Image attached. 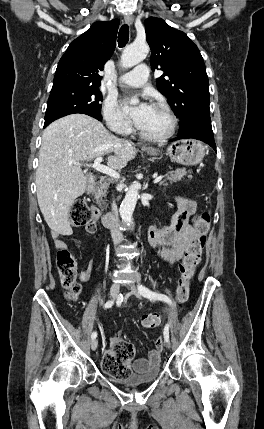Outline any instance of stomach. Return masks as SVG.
<instances>
[{
	"label": "stomach",
	"mask_w": 264,
	"mask_h": 429,
	"mask_svg": "<svg viewBox=\"0 0 264 429\" xmlns=\"http://www.w3.org/2000/svg\"><path fill=\"white\" fill-rule=\"evenodd\" d=\"M150 155H158L159 150H147ZM166 154L172 161L183 165H196L205 156V147L198 140L184 139L171 143L166 150Z\"/></svg>",
	"instance_id": "0dacf381"
}]
</instances>
